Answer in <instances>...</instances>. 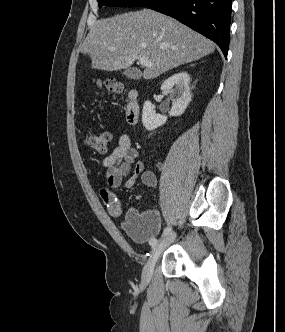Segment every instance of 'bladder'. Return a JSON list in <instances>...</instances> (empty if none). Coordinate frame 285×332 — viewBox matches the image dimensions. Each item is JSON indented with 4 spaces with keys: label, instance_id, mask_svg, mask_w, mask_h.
Returning <instances> with one entry per match:
<instances>
[{
    "label": "bladder",
    "instance_id": "1",
    "mask_svg": "<svg viewBox=\"0 0 285 332\" xmlns=\"http://www.w3.org/2000/svg\"><path fill=\"white\" fill-rule=\"evenodd\" d=\"M127 234L137 243L146 244L160 230L159 215L155 210H144L128 214L124 222Z\"/></svg>",
    "mask_w": 285,
    "mask_h": 332
}]
</instances>
